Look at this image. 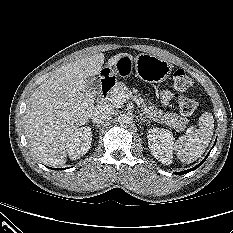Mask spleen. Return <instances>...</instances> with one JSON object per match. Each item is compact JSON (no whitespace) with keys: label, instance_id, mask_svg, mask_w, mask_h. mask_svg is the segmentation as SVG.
Wrapping results in <instances>:
<instances>
[{"label":"spleen","instance_id":"3e777b00","mask_svg":"<svg viewBox=\"0 0 233 233\" xmlns=\"http://www.w3.org/2000/svg\"><path fill=\"white\" fill-rule=\"evenodd\" d=\"M214 130L212 113L205 112L199 118V126L176 141L174 150L181 162L190 164L200 158L208 147Z\"/></svg>","mask_w":233,"mask_h":233}]
</instances>
